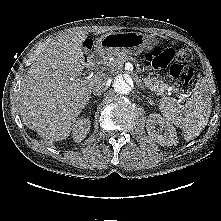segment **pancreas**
I'll use <instances>...</instances> for the list:
<instances>
[{"instance_id":"pancreas-1","label":"pancreas","mask_w":221,"mask_h":221,"mask_svg":"<svg viewBox=\"0 0 221 221\" xmlns=\"http://www.w3.org/2000/svg\"><path fill=\"white\" fill-rule=\"evenodd\" d=\"M110 58H112V60L108 59L105 61V65L108 66L109 69H115L127 61H135L134 58L125 53H116L110 56ZM143 82L146 87L154 91L157 95L164 96L166 90L169 89V85L157 77H146L143 79Z\"/></svg>"}]
</instances>
